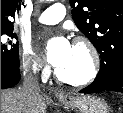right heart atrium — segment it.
Instances as JSON below:
<instances>
[{
	"label": "right heart atrium",
	"mask_w": 123,
	"mask_h": 113,
	"mask_svg": "<svg viewBox=\"0 0 123 113\" xmlns=\"http://www.w3.org/2000/svg\"><path fill=\"white\" fill-rule=\"evenodd\" d=\"M21 64L24 71L31 75H45L48 70L41 56L29 44L22 46Z\"/></svg>",
	"instance_id": "right-heart-atrium-1"
}]
</instances>
